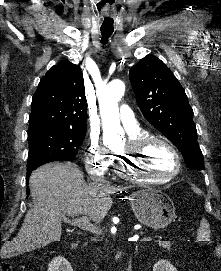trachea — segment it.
Masks as SVG:
<instances>
[{
  "instance_id": "obj_1",
  "label": "trachea",
  "mask_w": 221,
  "mask_h": 271,
  "mask_svg": "<svg viewBox=\"0 0 221 271\" xmlns=\"http://www.w3.org/2000/svg\"><path fill=\"white\" fill-rule=\"evenodd\" d=\"M112 33H113V27L101 28L103 45H105L108 42V38L112 35Z\"/></svg>"
}]
</instances>
